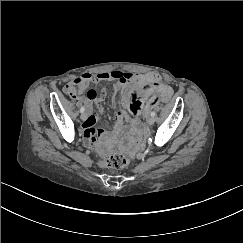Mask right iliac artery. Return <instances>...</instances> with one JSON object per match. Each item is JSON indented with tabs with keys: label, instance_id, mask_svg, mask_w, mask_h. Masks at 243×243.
<instances>
[{
	"label": "right iliac artery",
	"instance_id": "1",
	"mask_svg": "<svg viewBox=\"0 0 243 243\" xmlns=\"http://www.w3.org/2000/svg\"><path fill=\"white\" fill-rule=\"evenodd\" d=\"M85 111L84 106L81 107L80 112L83 113Z\"/></svg>",
	"mask_w": 243,
	"mask_h": 243
}]
</instances>
